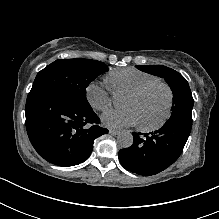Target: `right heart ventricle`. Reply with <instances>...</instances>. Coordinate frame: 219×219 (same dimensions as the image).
<instances>
[{"instance_id":"right-heart-ventricle-1","label":"right heart ventricle","mask_w":219,"mask_h":219,"mask_svg":"<svg viewBox=\"0 0 219 219\" xmlns=\"http://www.w3.org/2000/svg\"><path fill=\"white\" fill-rule=\"evenodd\" d=\"M152 81H159V78L132 67L110 72L106 78V82L115 96L119 94L126 95L130 91Z\"/></svg>"}]
</instances>
